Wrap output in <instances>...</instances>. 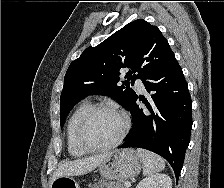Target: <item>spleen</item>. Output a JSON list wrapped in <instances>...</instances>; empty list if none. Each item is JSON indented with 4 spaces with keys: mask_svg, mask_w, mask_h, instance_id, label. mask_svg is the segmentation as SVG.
<instances>
[{
    "mask_svg": "<svg viewBox=\"0 0 224 188\" xmlns=\"http://www.w3.org/2000/svg\"><path fill=\"white\" fill-rule=\"evenodd\" d=\"M137 153L139 154L144 164V175H152L154 173L162 171L165 168L164 159L156 155L155 153L144 149H137Z\"/></svg>",
    "mask_w": 224,
    "mask_h": 188,
    "instance_id": "3e777b00",
    "label": "spleen"
}]
</instances>
